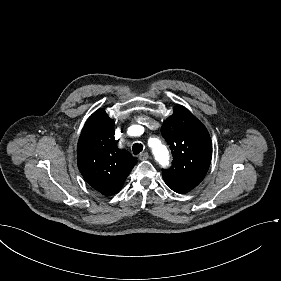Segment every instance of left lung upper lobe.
<instances>
[{"mask_svg": "<svg viewBox=\"0 0 281 281\" xmlns=\"http://www.w3.org/2000/svg\"><path fill=\"white\" fill-rule=\"evenodd\" d=\"M161 134L170 145L173 162L162 170L165 183L177 193L195 188L205 177L212 158V142L206 127L183 106L162 125Z\"/></svg>", "mask_w": 281, "mask_h": 281, "instance_id": "left-lung-upper-lobe-1", "label": "left lung upper lobe"}]
</instances>
